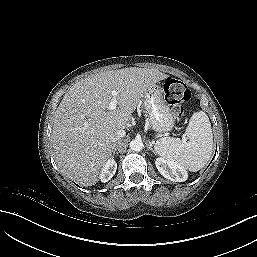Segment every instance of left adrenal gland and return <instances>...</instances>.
<instances>
[{
  "mask_svg": "<svg viewBox=\"0 0 257 257\" xmlns=\"http://www.w3.org/2000/svg\"><path fill=\"white\" fill-rule=\"evenodd\" d=\"M147 148H148L149 150H151V151L154 152V150H153V148H152V143H151V142H148Z\"/></svg>",
  "mask_w": 257,
  "mask_h": 257,
  "instance_id": "1",
  "label": "left adrenal gland"
}]
</instances>
